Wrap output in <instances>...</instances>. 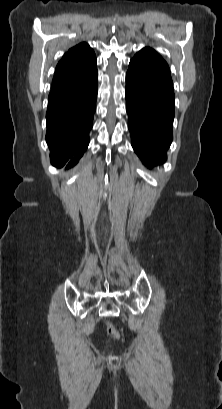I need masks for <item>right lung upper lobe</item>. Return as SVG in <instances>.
Masks as SVG:
<instances>
[{"mask_svg":"<svg viewBox=\"0 0 222 409\" xmlns=\"http://www.w3.org/2000/svg\"><path fill=\"white\" fill-rule=\"evenodd\" d=\"M96 69V56L93 49L86 43L76 45L59 61L50 95H63L80 89L82 81L77 76L90 74ZM73 75L76 77L72 78Z\"/></svg>","mask_w":222,"mask_h":409,"instance_id":"right-lung-upper-lobe-1","label":"right lung upper lobe"}]
</instances>
